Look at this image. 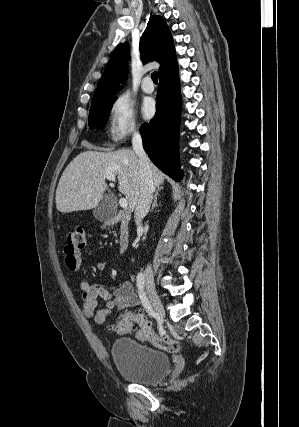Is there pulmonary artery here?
<instances>
[{"label": "pulmonary artery", "mask_w": 299, "mask_h": 427, "mask_svg": "<svg viewBox=\"0 0 299 427\" xmlns=\"http://www.w3.org/2000/svg\"><path fill=\"white\" fill-rule=\"evenodd\" d=\"M142 89L145 93H152L154 91V85L151 81L150 76H146L142 82Z\"/></svg>", "instance_id": "1"}]
</instances>
